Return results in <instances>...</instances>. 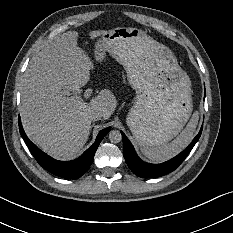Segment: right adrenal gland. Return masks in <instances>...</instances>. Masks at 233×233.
<instances>
[{
  "mask_svg": "<svg viewBox=\"0 0 233 233\" xmlns=\"http://www.w3.org/2000/svg\"><path fill=\"white\" fill-rule=\"evenodd\" d=\"M93 126H94V124H92V126L90 127V128H91V130H92Z\"/></svg>",
  "mask_w": 233,
  "mask_h": 233,
  "instance_id": "obj_1",
  "label": "right adrenal gland"
}]
</instances>
